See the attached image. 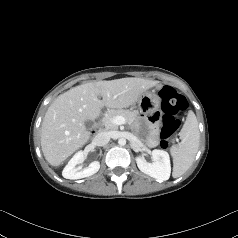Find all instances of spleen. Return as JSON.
<instances>
[{"instance_id": "obj_1", "label": "spleen", "mask_w": 238, "mask_h": 238, "mask_svg": "<svg viewBox=\"0 0 238 238\" xmlns=\"http://www.w3.org/2000/svg\"><path fill=\"white\" fill-rule=\"evenodd\" d=\"M180 138L181 143L170 148L174 178L180 177L191 167L198 152L200 133L197 118L192 111L188 113Z\"/></svg>"}]
</instances>
